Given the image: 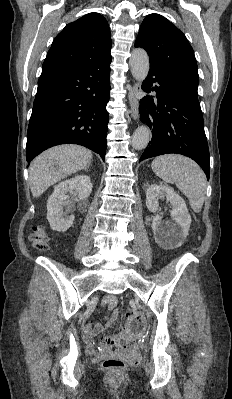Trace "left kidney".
Instances as JSON below:
<instances>
[{
    "label": "left kidney",
    "instance_id": "left-kidney-1",
    "mask_svg": "<svg viewBox=\"0 0 232 399\" xmlns=\"http://www.w3.org/2000/svg\"><path fill=\"white\" fill-rule=\"evenodd\" d=\"M164 198L172 205L170 211L172 219L168 221H162V215L156 213L159 209L158 200H164ZM146 205L150 211L156 213L152 219V229L157 243L165 249H174L182 245L191 225V215L183 198H180L173 188L161 182L159 186L157 184L147 186Z\"/></svg>",
    "mask_w": 232,
    "mask_h": 399
}]
</instances>
